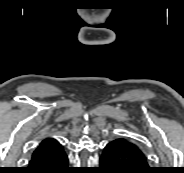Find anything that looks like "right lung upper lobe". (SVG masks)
<instances>
[{
  "mask_svg": "<svg viewBox=\"0 0 184 173\" xmlns=\"http://www.w3.org/2000/svg\"><path fill=\"white\" fill-rule=\"evenodd\" d=\"M60 146L61 144L57 140L53 138H47L40 143L33 155L48 153Z\"/></svg>",
  "mask_w": 184,
  "mask_h": 173,
  "instance_id": "obj_1",
  "label": "right lung upper lobe"
}]
</instances>
